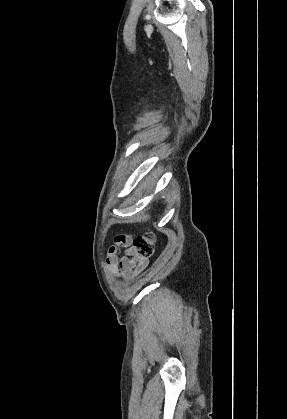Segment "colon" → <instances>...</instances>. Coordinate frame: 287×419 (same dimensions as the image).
Segmentation results:
<instances>
[{"label":"colon","instance_id":"obj_1","mask_svg":"<svg viewBox=\"0 0 287 419\" xmlns=\"http://www.w3.org/2000/svg\"><path fill=\"white\" fill-rule=\"evenodd\" d=\"M133 250L141 257H150L154 254V239L151 236H138L132 241Z\"/></svg>","mask_w":287,"mask_h":419}]
</instances>
